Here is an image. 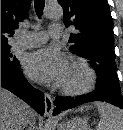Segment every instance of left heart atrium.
Wrapping results in <instances>:
<instances>
[{
    "label": "left heart atrium",
    "mask_w": 123,
    "mask_h": 130,
    "mask_svg": "<svg viewBox=\"0 0 123 130\" xmlns=\"http://www.w3.org/2000/svg\"><path fill=\"white\" fill-rule=\"evenodd\" d=\"M24 68L28 76L35 81L60 84L68 69V64L59 49L44 47L26 56Z\"/></svg>",
    "instance_id": "39dd6f15"
}]
</instances>
